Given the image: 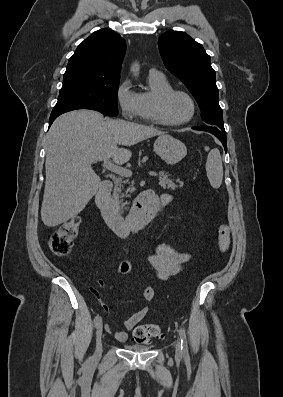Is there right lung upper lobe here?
<instances>
[{
  "label": "right lung upper lobe",
  "instance_id": "cb5924a9",
  "mask_svg": "<svg viewBox=\"0 0 283 397\" xmlns=\"http://www.w3.org/2000/svg\"><path fill=\"white\" fill-rule=\"evenodd\" d=\"M125 51L126 42L119 34L108 29H100L79 44L69 59L65 74L120 78Z\"/></svg>",
  "mask_w": 283,
  "mask_h": 397
}]
</instances>
